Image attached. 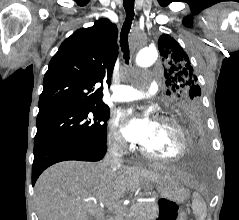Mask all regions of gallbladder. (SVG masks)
<instances>
[{
	"mask_svg": "<svg viewBox=\"0 0 239 220\" xmlns=\"http://www.w3.org/2000/svg\"><path fill=\"white\" fill-rule=\"evenodd\" d=\"M89 220H95L94 217L90 216Z\"/></svg>",
	"mask_w": 239,
	"mask_h": 220,
	"instance_id": "1",
	"label": "gallbladder"
}]
</instances>
